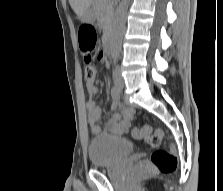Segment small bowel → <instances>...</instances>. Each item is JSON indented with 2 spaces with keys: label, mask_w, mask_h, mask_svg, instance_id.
I'll return each mask as SVG.
<instances>
[{
  "label": "small bowel",
  "mask_w": 223,
  "mask_h": 191,
  "mask_svg": "<svg viewBox=\"0 0 223 191\" xmlns=\"http://www.w3.org/2000/svg\"><path fill=\"white\" fill-rule=\"evenodd\" d=\"M98 59L104 61L106 56L103 52L98 54ZM87 91L90 98L86 101L85 107L87 111L88 124L91 132L94 135L102 133L98 122L102 119V109L92 99V96L97 95L100 89L96 85L88 84ZM134 117V109L126 107L120 103L119 99H113V114L107 118L105 122V132L113 135L125 134L131 126Z\"/></svg>",
  "instance_id": "c3829d8e"
}]
</instances>
